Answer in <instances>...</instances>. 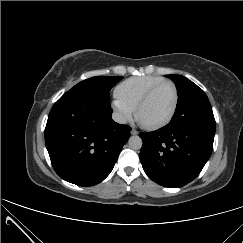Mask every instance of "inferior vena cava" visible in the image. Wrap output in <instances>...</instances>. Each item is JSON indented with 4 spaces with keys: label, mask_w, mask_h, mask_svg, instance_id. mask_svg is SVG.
I'll return each mask as SVG.
<instances>
[{
    "label": "inferior vena cava",
    "mask_w": 243,
    "mask_h": 243,
    "mask_svg": "<svg viewBox=\"0 0 243 243\" xmlns=\"http://www.w3.org/2000/svg\"><path fill=\"white\" fill-rule=\"evenodd\" d=\"M112 118L114 121L118 122V123H125L126 122V119L123 115H121L120 113H117L115 112L113 115H112Z\"/></svg>",
    "instance_id": "inferior-vena-cava-1"
}]
</instances>
